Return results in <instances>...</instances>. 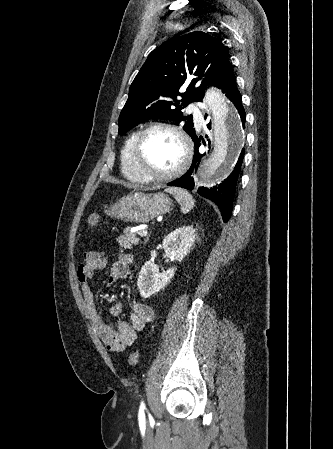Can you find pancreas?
Here are the masks:
<instances>
[{
  "label": "pancreas",
  "instance_id": "obj_1",
  "mask_svg": "<svg viewBox=\"0 0 333 449\" xmlns=\"http://www.w3.org/2000/svg\"><path fill=\"white\" fill-rule=\"evenodd\" d=\"M123 233L124 234L117 239V242L121 247L131 249L133 245L139 243V238L136 237L135 233L130 231V228H126Z\"/></svg>",
  "mask_w": 333,
  "mask_h": 449
}]
</instances>
